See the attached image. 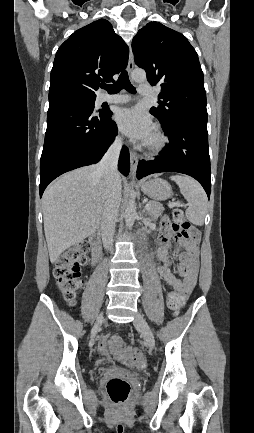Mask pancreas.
Masks as SVG:
<instances>
[{
  "label": "pancreas",
  "mask_w": 254,
  "mask_h": 433,
  "mask_svg": "<svg viewBox=\"0 0 254 433\" xmlns=\"http://www.w3.org/2000/svg\"><path fill=\"white\" fill-rule=\"evenodd\" d=\"M151 206L147 209V214L154 220H156L164 211V207L162 204L156 201L148 202Z\"/></svg>",
  "instance_id": "1"
}]
</instances>
